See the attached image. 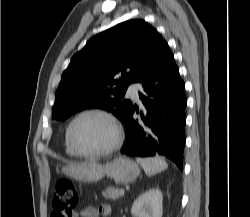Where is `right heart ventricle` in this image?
I'll return each instance as SVG.
<instances>
[{
	"instance_id": "obj_1",
	"label": "right heart ventricle",
	"mask_w": 250,
	"mask_h": 217,
	"mask_svg": "<svg viewBox=\"0 0 250 217\" xmlns=\"http://www.w3.org/2000/svg\"><path fill=\"white\" fill-rule=\"evenodd\" d=\"M64 147H65V152L69 155V156H76V154L72 151V149L70 148V146L68 145L67 139H66V134H65V139H64Z\"/></svg>"
}]
</instances>
